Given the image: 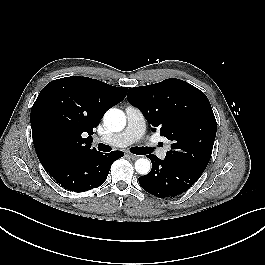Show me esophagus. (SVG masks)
Segmentation results:
<instances>
[{"label":"esophagus","instance_id":"1","mask_svg":"<svg viewBox=\"0 0 265 265\" xmlns=\"http://www.w3.org/2000/svg\"><path fill=\"white\" fill-rule=\"evenodd\" d=\"M127 156L132 159V160H136L138 159L139 156L135 155V154H131V153H128Z\"/></svg>","mask_w":265,"mask_h":265}]
</instances>
